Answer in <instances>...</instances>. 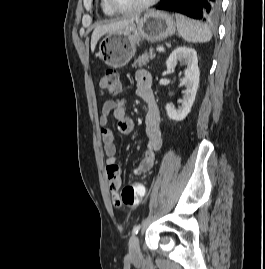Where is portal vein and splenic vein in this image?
Listing matches in <instances>:
<instances>
[{"label": "portal vein and splenic vein", "instance_id": "portal-vein-and-splenic-vein-1", "mask_svg": "<svg viewBox=\"0 0 265 269\" xmlns=\"http://www.w3.org/2000/svg\"><path fill=\"white\" fill-rule=\"evenodd\" d=\"M157 51H158V52H164V48H163V47H158V48H157Z\"/></svg>", "mask_w": 265, "mask_h": 269}]
</instances>
